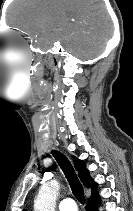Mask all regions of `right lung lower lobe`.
<instances>
[{
	"label": "right lung lower lobe",
	"instance_id": "right-lung-lower-lobe-1",
	"mask_svg": "<svg viewBox=\"0 0 133 211\" xmlns=\"http://www.w3.org/2000/svg\"><path fill=\"white\" fill-rule=\"evenodd\" d=\"M99 202H100V197L95 198V199H89L86 210L97 211Z\"/></svg>",
	"mask_w": 133,
	"mask_h": 211
}]
</instances>
